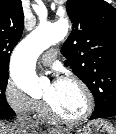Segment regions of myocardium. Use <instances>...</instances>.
Wrapping results in <instances>:
<instances>
[{"instance_id":"obj_1","label":"myocardium","mask_w":116,"mask_h":134,"mask_svg":"<svg viewBox=\"0 0 116 134\" xmlns=\"http://www.w3.org/2000/svg\"><path fill=\"white\" fill-rule=\"evenodd\" d=\"M59 81H67V82L75 83L82 90V92L85 96L86 108L81 115L74 117V118H68V117H65V116L59 114L53 108L51 103L47 99H45V104H46V109H47L48 114L54 120L64 123V124H69V125H76V124H80V123L86 121L93 113L94 105H95L94 96H93L91 90L89 89V87L87 86V84L74 75H64L59 79Z\"/></svg>"}]
</instances>
